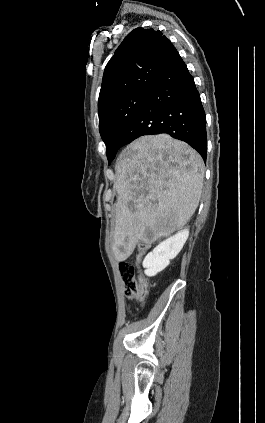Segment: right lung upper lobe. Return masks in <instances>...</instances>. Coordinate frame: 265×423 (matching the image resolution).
Returning a JSON list of instances; mask_svg holds the SVG:
<instances>
[{
  "label": "right lung upper lobe",
  "instance_id": "1",
  "mask_svg": "<svg viewBox=\"0 0 265 423\" xmlns=\"http://www.w3.org/2000/svg\"><path fill=\"white\" fill-rule=\"evenodd\" d=\"M177 55L161 31L142 27L131 31L105 67L99 114L132 92L151 89Z\"/></svg>",
  "mask_w": 265,
  "mask_h": 423
}]
</instances>
